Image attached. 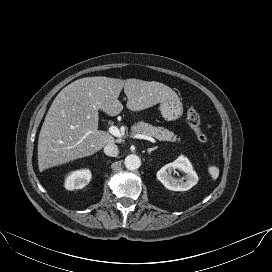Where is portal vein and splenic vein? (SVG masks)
<instances>
[{"label": "portal vein and splenic vein", "mask_w": 272, "mask_h": 272, "mask_svg": "<svg viewBox=\"0 0 272 272\" xmlns=\"http://www.w3.org/2000/svg\"><path fill=\"white\" fill-rule=\"evenodd\" d=\"M109 132L115 137H118V138L122 137L120 130L114 125H111L109 127ZM134 137L137 139H144V140H148L152 143H156V140L154 138H152L151 136H147V135H143V134H135Z\"/></svg>", "instance_id": "portal-vein-and-splenic-vein-1"}]
</instances>
